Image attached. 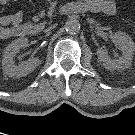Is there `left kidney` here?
Masks as SVG:
<instances>
[{"label": "left kidney", "mask_w": 135, "mask_h": 135, "mask_svg": "<svg viewBox=\"0 0 135 135\" xmlns=\"http://www.w3.org/2000/svg\"><path fill=\"white\" fill-rule=\"evenodd\" d=\"M113 39L122 51V56L118 59H112L106 49L100 47L97 49L98 60L109 70H124L129 68L131 66L133 52L135 51L133 40L124 32H116Z\"/></svg>", "instance_id": "1"}]
</instances>
